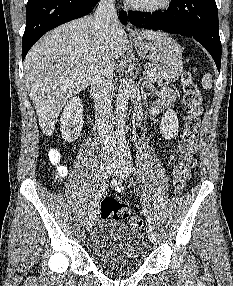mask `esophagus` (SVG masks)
Instances as JSON below:
<instances>
[{
  "instance_id": "34e87169",
  "label": "esophagus",
  "mask_w": 233,
  "mask_h": 286,
  "mask_svg": "<svg viewBox=\"0 0 233 286\" xmlns=\"http://www.w3.org/2000/svg\"><path fill=\"white\" fill-rule=\"evenodd\" d=\"M128 30L130 31V34L135 35V32L132 29L131 23H128Z\"/></svg>"
}]
</instances>
